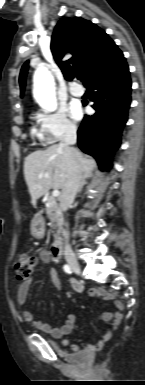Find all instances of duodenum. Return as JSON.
<instances>
[{"instance_id":"1","label":"duodenum","mask_w":145,"mask_h":385,"mask_svg":"<svg viewBox=\"0 0 145 385\" xmlns=\"http://www.w3.org/2000/svg\"><path fill=\"white\" fill-rule=\"evenodd\" d=\"M39 221H35L37 224ZM62 242L60 240H57L53 243L52 248H51V254L53 257L58 258L62 255Z\"/></svg>"}]
</instances>
